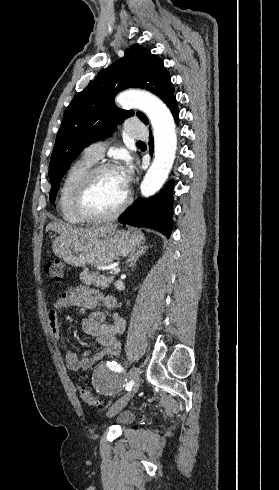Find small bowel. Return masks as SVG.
Returning <instances> with one entry per match:
<instances>
[{
    "label": "small bowel",
    "mask_w": 279,
    "mask_h": 490,
    "mask_svg": "<svg viewBox=\"0 0 279 490\" xmlns=\"http://www.w3.org/2000/svg\"><path fill=\"white\" fill-rule=\"evenodd\" d=\"M99 305L106 310H113L116 307V300L114 297L88 286H78L65 291L54 300L47 314V322L51 334L56 339H61L59 315L65 308L77 306L93 310ZM81 325L85 333L97 339L100 348L94 352H85L82 358H78L74 351L67 349L65 351V363L69 370L89 369L93 364L105 357H115L120 354L121 344L118 337L125 330V320L120 314L117 312L93 311L82 319Z\"/></svg>",
    "instance_id": "obj_1"
}]
</instances>
